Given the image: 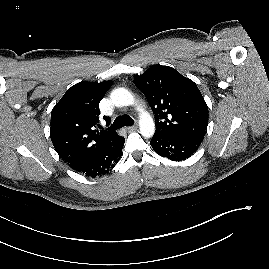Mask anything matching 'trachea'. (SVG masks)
<instances>
[{"mask_svg": "<svg viewBox=\"0 0 269 269\" xmlns=\"http://www.w3.org/2000/svg\"><path fill=\"white\" fill-rule=\"evenodd\" d=\"M134 124V120L128 115H122L115 119L113 124L109 127V130H117L124 126H131Z\"/></svg>", "mask_w": 269, "mask_h": 269, "instance_id": "1", "label": "trachea"}]
</instances>
